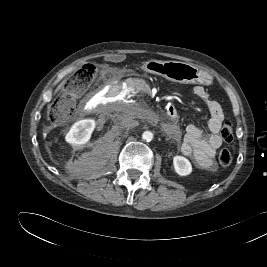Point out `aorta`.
Returning <instances> with one entry per match:
<instances>
[{"mask_svg":"<svg viewBox=\"0 0 267 267\" xmlns=\"http://www.w3.org/2000/svg\"><path fill=\"white\" fill-rule=\"evenodd\" d=\"M142 139L146 140L147 142L153 139V133L151 131H145L142 134Z\"/></svg>","mask_w":267,"mask_h":267,"instance_id":"obj_1","label":"aorta"}]
</instances>
